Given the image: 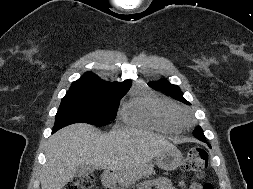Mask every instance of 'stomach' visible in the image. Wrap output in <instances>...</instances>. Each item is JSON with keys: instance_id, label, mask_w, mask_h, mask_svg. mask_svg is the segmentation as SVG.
<instances>
[{"instance_id": "1", "label": "stomach", "mask_w": 253, "mask_h": 189, "mask_svg": "<svg viewBox=\"0 0 253 189\" xmlns=\"http://www.w3.org/2000/svg\"><path fill=\"white\" fill-rule=\"evenodd\" d=\"M182 153L177 148L165 150L156 157L155 164L163 170H175L182 161ZM118 173H111L103 180L106 184H111L118 180Z\"/></svg>"}]
</instances>
